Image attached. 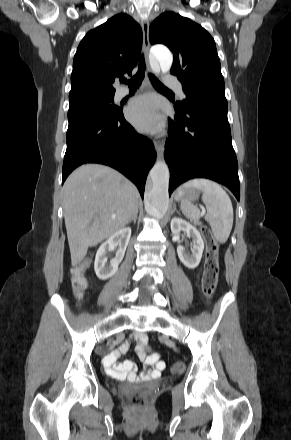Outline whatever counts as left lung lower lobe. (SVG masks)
<instances>
[{
    "label": "left lung lower lobe",
    "mask_w": 291,
    "mask_h": 440,
    "mask_svg": "<svg viewBox=\"0 0 291 440\" xmlns=\"http://www.w3.org/2000/svg\"><path fill=\"white\" fill-rule=\"evenodd\" d=\"M169 119L165 160L170 168L169 195L192 178L227 186L240 200L238 163L232 146L227 107L190 104Z\"/></svg>",
    "instance_id": "1"
}]
</instances>
